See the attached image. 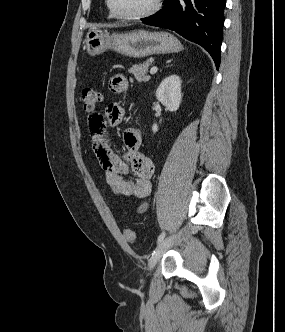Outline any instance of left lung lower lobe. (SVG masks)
<instances>
[{"mask_svg":"<svg viewBox=\"0 0 285 332\" xmlns=\"http://www.w3.org/2000/svg\"><path fill=\"white\" fill-rule=\"evenodd\" d=\"M225 4V0H166L163 10L142 21L176 31L201 45L218 69Z\"/></svg>","mask_w":285,"mask_h":332,"instance_id":"obj_1","label":"left lung lower lobe"}]
</instances>
